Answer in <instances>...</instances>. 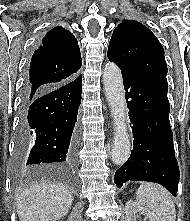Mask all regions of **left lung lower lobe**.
<instances>
[{
  "label": "left lung lower lobe",
  "instance_id": "obj_1",
  "mask_svg": "<svg viewBox=\"0 0 190 221\" xmlns=\"http://www.w3.org/2000/svg\"><path fill=\"white\" fill-rule=\"evenodd\" d=\"M133 150L118 169L114 182L149 181L159 183L176 196L180 178L169 121L168 86L160 80L122 72Z\"/></svg>",
  "mask_w": 190,
  "mask_h": 221
}]
</instances>
